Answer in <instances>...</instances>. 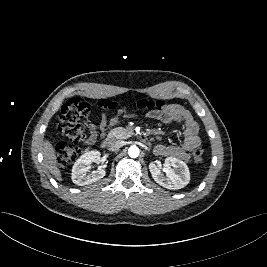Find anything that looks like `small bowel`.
Masks as SVG:
<instances>
[{
    "label": "small bowel",
    "mask_w": 267,
    "mask_h": 267,
    "mask_svg": "<svg viewBox=\"0 0 267 267\" xmlns=\"http://www.w3.org/2000/svg\"><path fill=\"white\" fill-rule=\"evenodd\" d=\"M124 112V108L120 113ZM152 119L165 123H178L183 125V140L179 145L159 144L154 147V153L158 156L174 157L182 160L189 158L190 152L200 145L199 126L191 113L180 104H167L163 108L151 111ZM119 117L107 122L103 116L89 131V142H94L109 127L116 124Z\"/></svg>",
    "instance_id": "obj_1"
}]
</instances>
